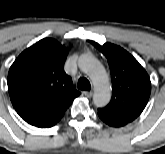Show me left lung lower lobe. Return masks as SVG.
Wrapping results in <instances>:
<instances>
[{"label": "left lung lower lobe", "instance_id": "left-lung-lower-lobe-1", "mask_svg": "<svg viewBox=\"0 0 165 154\" xmlns=\"http://www.w3.org/2000/svg\"><path fill=\"white\" fill-rule=\"evenodd\" d=\"M100 119L105 122L106 124L110 125V126H113V127H121V126H124L125 122L121 121V120H116V119H108L100 114H98Z\"/></svg>", "mask_w": 165, "mask_h": 154}]
</instances>
